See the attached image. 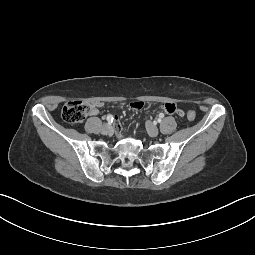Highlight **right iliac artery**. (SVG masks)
I'll use <instances>...</instances> for the list:
<instances>
[{
	"instance_id": "82829eb1",
	"label": "right iliac artery",
	"mask_w": 255,
	"mask_h": 255,
	"mask_svg": "<svg viewBox=\"0 0 255 255\" xmlns=\"http://www.w3.org/2000/svg\"><path fill=\"white\" fill-rule=\"evenodd\" d=\"M113 115H111V114H109V115H107V117H106V120L108 121V122H112L113 121Z\"/></svg>"
}]
</instances>
